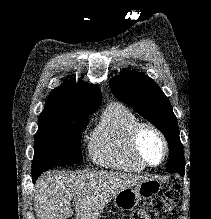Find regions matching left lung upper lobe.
<instances>
[{
    "label": "left lung upper lobe",
    "mask_w": 211,
    "mask_h": 219,
    "mask_svg": "<svg viewBox=\"0 0 211 219\" xmlns=\"http://www.w3.org/2000/svg\"><path fill=\"white\" fill-rule=\"evenodd\" d=\"M113 94L131 106L141 116L156 126L166 137L169 150H178L184 161L183 146L179 139L176 116L170 102L157 84L140 72H127L109 81ZM171 172H178L166 165Z\"/></svg>",
    "instance_id": "1"
}]
</instances>
